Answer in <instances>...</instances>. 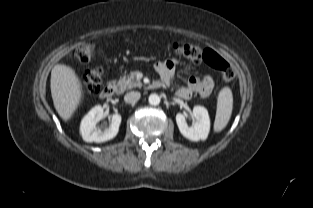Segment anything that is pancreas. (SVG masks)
I'll use <instances>...</instances> for the list:
<instances>
[{
	"instance_id": "1",
	"label": "pancreas",
	"mask_w": 313,
	"mask_h": 208,
	"mask_svg": "<svg viewBox=\"0 0 313 208\" xmlns=\"http://www.w3.org/2000/svg\"><path fill=\"white\" fill-rule=\"evenodd\" d=\"M135 72H131L128 76H123L117 82L118 93H123L126 89H132L133 87H141L142 83L136 79Z\"/></svg>"
}]
</instances>
